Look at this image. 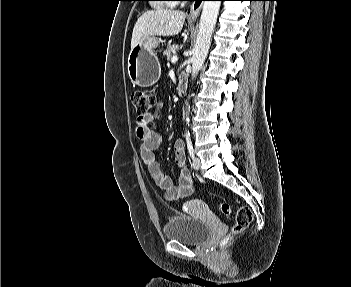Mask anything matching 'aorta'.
<instances>
[{
  "instance_id": "aorta-1",
  "label": "aorta",
  "mask_w": 351,
  "mask_h": 287,
  "mask_svg": "<svg viewBox=\"0 0 351 287\" xmlns=\"http://www.w3.org/2000/svg\"><path fill=\"white\" fill-rule=\"evenodd\" d=\"M220 5L221 1H204L199 32L192 56V79L197 76L207 57ZM186 120L189 121V118L187 117Z\"/></svg>"
}]
</instances>
